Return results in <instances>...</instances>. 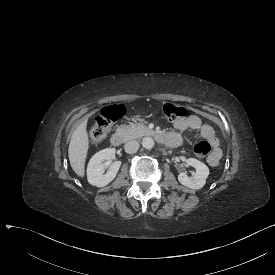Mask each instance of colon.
Listing matches in <instances>:
<instances>
[{"label":"colon","mask_w":275,"mask_h":275,"mask_svg":"<svg viewBox=\"0 0 275 275\" xmlns=\"http://www.w3.org/2000/svg\"><path fill=\"white\" fill-rule=\"evenodd\" d=\"M124 107L120 103L105 106L93 119L90 131L92 144H100L106 137L110 126L122 119ZM164 118L168 122L186 118L190 111L184 106L170 102L163 105ZM211 151V145L206 140H200L194 145V152L198 157H205Z\"/></svg>","instance_id":"5ec220e1"}]
</instances>
